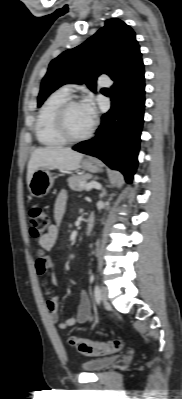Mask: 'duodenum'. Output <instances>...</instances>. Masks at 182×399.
<instances>
[{
    "mask_svg": "<svg viewBox=\"0 0 182 399\" xmlns=\"http://www.w3.org/2000/svg\"><path fill=\"white\" fill-rule=\"evenodd\" d=\"M94 224H95V217L91 213V214H89V216L87 217V220H86V232L87 233H89L93 229Z\"/></svg>",
    "mask_w": 182,
    "mask_h": 399,
    "instance_id": "duodenum-1",
    "label": "duodenum"
}]
</instances>
